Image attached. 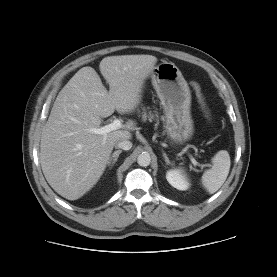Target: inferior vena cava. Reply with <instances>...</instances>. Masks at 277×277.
Here are the masks:
<instances>
[{"mask_svg":"<svg viewBox=\"0 0 277 277\" xmlns=\"http://www.w3.org/2000/svg\"><path fill=\"white\" fill-rule=\"evenodd\" d=\"M115 147L123 150H130L132 143L129 140L122 139L116 142Z\"/></svg>","mask_w":277,"mask_h":277,"instance_id":"obj_1","label":"inferior vena cava"}]
</instances>
